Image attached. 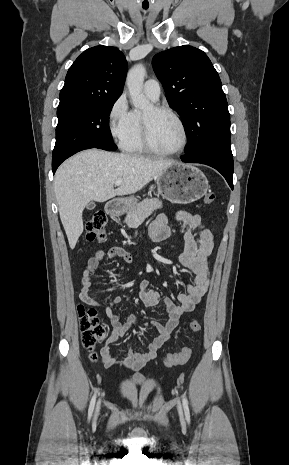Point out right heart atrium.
<instances>
[{
  "label": "right heart atrium",
  "instance_id": "right-heart-atrium-1",
  "mask_svg": "<svg viewBox=\"0 0 289 465\" xmlns=\"http://www.w3.org/2000/svg\"><path fill=\"white\" fill-rule=\"evenodd\" d=\"M133 127V112L129 109L127 98L120 95L110 107L108 113V128L112 138L122 145L131 133Z\"/></svg>",
  "mask_w": 289,
  "mask_h": 465
}]
</instances>
